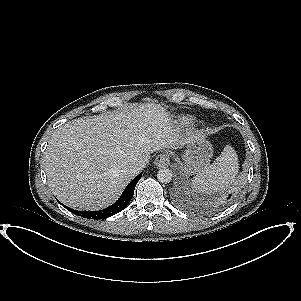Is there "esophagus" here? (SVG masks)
Segmentation results:
<instances>
[{"mask_svg": "<svg viewBox=\"0 0 301 301\" xmlns=\"http://www.w3.org/2000/svg\"><path fill=\"white\" fill-rule=\"evenodd\" d=\"M154 163L157 167H166L170 164V158L167 154H159Z\"/></svg>", "mask_w": 301, "mask_h": 301, "instance_id": "esophagus-1", "label": "esophagus"}]
</instances>
